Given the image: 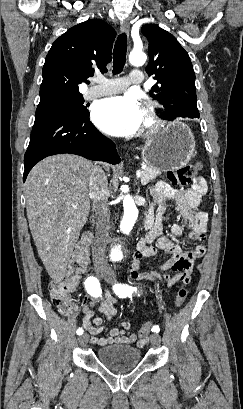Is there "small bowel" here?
Masks as SVG:
<instances>
[{
	"label": "small bowel",
	"mask_w": 243,
	"mask_h": 409,
	"mask_svg": "<svg viewBox=\"0 0 243 409\" xmlns=\"http://www.w3.org/2000/svg\"><path fill=\"white\" fill-rule=\"evenodd\" d=\"M207 191V183L204 178H197L187 189H174L166 182H158L152 188L154 205L157 206L156 221L145 240L138 245V252L130 270V277L134 280L160 281L167 287H173L178 282L188 284L194 262L202 257L206 251L205 239L207 232V215L198 210L202 197ZM174 202L176 211L183 218L189 229V238L198 244L191 250H184L180 245L162 236V221L167 212V202ZM174 236L183 237V227L179 224L171 226ZM164 253L167 258L158 263V268L164 271L140 272L139 266L143 258L156 257ZM173 273V274H170ZM78 307L74 306L72 313L76 314ZM98 311L102 313L106 321H111L117 313L116 300L109 294L103 295ZM82 326L90 334L91 343L96 346H107L112 344L130 345L137 342L139 347L144 346L148 337L137 341V335L130 330L128 322L119 323L118 327L109 330V337H98L106 330L103 320L95 317V311L89 306L82 307Z\"/></svg>",
	"instance_id": "small-bowel-1"
}]
</instances>
